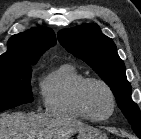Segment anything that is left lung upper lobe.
<instances>
[{"mask_svg": "<svg viewBox=\"0 0 141 139\" xmlns=\"http://www.w3.org/2000/svg\"><path fill=\"white\" fill-rule=\"evenodd\" d=\"M58 40L68 52L86 62L108 84L133 131L136 135L141 134L140 110L131 99L125 65L117 54L113 40L102 34L96 24L60 30Z\"/></svg>", "mask_w": 141, "mask_h": 139, "instance_id": "left-lung-upper-lobe-1", "label": "left lung upper lobe"}]
</instances>
